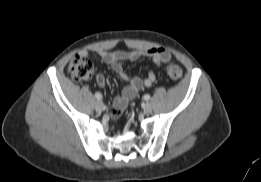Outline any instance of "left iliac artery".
<instances>
[{"instance_id": "left-iliac-artery-1", "label": "left iliac artery", "mask_w": 261, "mask_h": 182, "mask_svg": "<svg viewBox=\"0 0 261 182\" xmlns=\"http://www.w3.org/2000/svg\"><path fill=\"white\" fill-rule=\"evenodd\" d=\"M145 100H149L150 99V95L149 94H145L143 97Z\"/></svg>"}]
</instances>
